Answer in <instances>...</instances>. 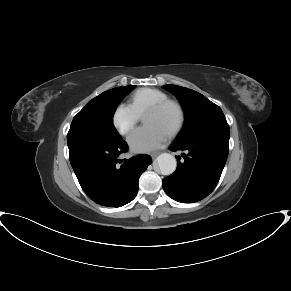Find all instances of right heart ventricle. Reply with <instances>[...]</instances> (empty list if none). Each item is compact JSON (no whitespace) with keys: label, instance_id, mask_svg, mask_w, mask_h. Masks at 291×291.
I'll return each mask as SVG.
<instances>
[{"label":"right heart ventricle","instance_id":"1","mask_svg":"<svg viewBox=\"0 0 291 291\" xmlns=\"http://www.w3.org/2000/svg\"><path fill=\"white\" fill-rule=\"evenodd\" d=\"M167 98V95L158 89L140 88L131 95L130 105L141 116L148 106Z\"/></svg>","mask_w":291,"mask_h":291}]
</instances>
